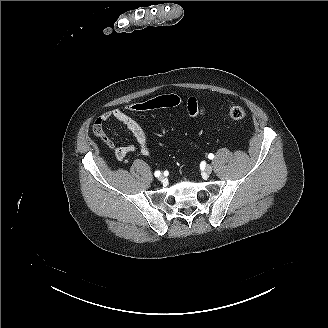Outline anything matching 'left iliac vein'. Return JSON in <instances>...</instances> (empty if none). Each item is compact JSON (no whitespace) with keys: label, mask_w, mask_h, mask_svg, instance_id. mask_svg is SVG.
<instances>
[{"label":"left iliac vein","mask_w":328,"mask_h":328,"mask_svg":"<svg viewBox=\"0 0 328 328\" xmlns=\"http://www.w3.org/2000/svg\"><path fill=\"white\" fill-rule=\"evenodd\" d=\"M212 171H213L212 166H210V165H206V166H205V172H206L207 174H211Z\"/></svg>","instance_id":"4c4485c4"}]
</instances>
